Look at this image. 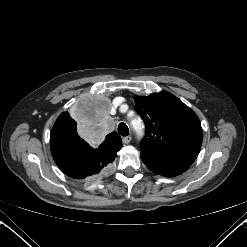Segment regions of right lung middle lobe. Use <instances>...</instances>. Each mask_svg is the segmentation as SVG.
<instances>
[{
  "label": "right lung middle lobe",
  "mask_w": 247,
  "mask_h": 247,
  "mask_svg": "<svg viewBox=\"0 0 247 247\" xmlns=\"http://www.w3.org/2000/svg\"><path fill=\"white\" fill-rule=\"evenodd\" d=\"M69 118H70L69 124H63L62 127H61L62 129L69 128V127H76L77 126V123L71 118L70 115H69Z\"/></svg>",
  "instance_id": "1"
}]
</instances>
